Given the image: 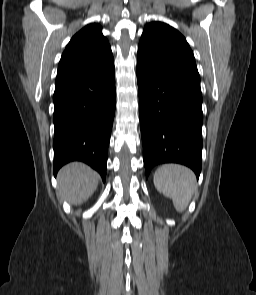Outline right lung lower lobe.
I'll return each mask as SVG.
<instances>
[{
  "label": "right lung lower lobe",
  "instance_id": "1",
  "mask_svg": "<svg viewBox=\"0 0 256 295\" xmlns=\"http://www.w3.org/2000/svg\"><path fill=\"white\" fill-rule=\"evenodd\" d=\"M53 101L54 175L79 160L105 181L116 101L114 62L56 80Z\"/></svg>",
  "mask_w": 256,
  "mask_h": 295
}]
</instances>
